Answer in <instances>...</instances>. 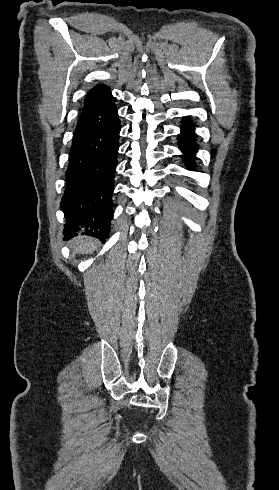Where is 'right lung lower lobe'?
<instances>
[{
    "instance_id": "98d812e1",
    "label": "right lung lower lobe",
    "mask_w": 279,
    "mask_h": 490,
    "mask_svg": "<svg viewBox=\"0 0 279 490\" xmlns=\"http://www.w3.org/2000/svg\"><path fill=\"white\" fill-rule=\"evenodd\" d=\"M120 120L83 139L73 140L60 202L66 218L64 239L79 234L108 238L113 214Z\"/></svg>"
}]
</instances>
